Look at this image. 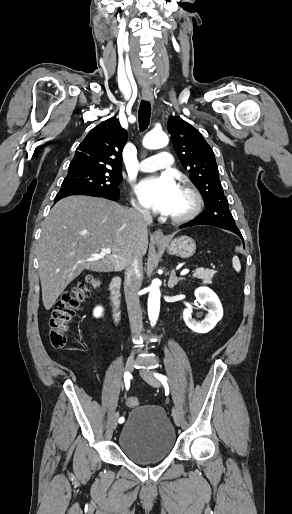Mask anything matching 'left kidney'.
Masks as SVG:
<instances>
[{"mask_svg": "<svg viewBox=\"0 0 292 514\" xmlns=\"http://www.w3.org/2000/svg\"><path fill=\"white\" fill-rule=\"evenodd\" d=\"M195 298H197L199 304L206 306L205 310H207V314H205L204 320L197 322V320L192 318L193 306H187V308L183 310V320L186 326H188L190 330H193V332H197V334H207V332L213 330L217 322L221 320L223 308L215 292L210 290V288H205V286L195 290Z\"/></svg>", "mask_w": 292, "mask_h": 514, "instance_id": "5707ae66", "label": "left kidney"}]
</instances>
